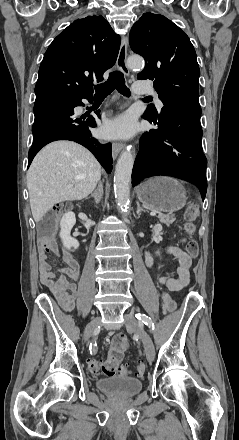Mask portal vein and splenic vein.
Instances as JSON below:
<instances>
[{"label":"portal vein and splenic vein","mask_w":239,"mask_h":440,"mask_svg":"<svg viewBox=\"0 0 239 440\" xmlns=\"http://www.w3.org/2000/svg\"><path fill=\"white\" fill-rule=\"evenodd\" d=\"M150 214H151V215H155L156 213H155V212H151Z\"/></svg>","instance_id":"obj_1"}]
</instances>
